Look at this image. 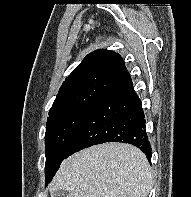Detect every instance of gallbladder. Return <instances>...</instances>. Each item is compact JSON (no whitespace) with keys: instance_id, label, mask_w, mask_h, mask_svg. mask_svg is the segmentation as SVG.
I'll return each mask as SVG.
<instances>
[{"instance_id":"obj_1","label":"gallbladder","mask_w":191,"mask_h":197,"mask_svg":"<svg viewBox=\"0 0 191 197\" xmlns=\"http://www.w3.org/2000/svg\"><path fill=\"white\" fill-rule=\"evenodd\" d=\"M53 197H68V192L65 189L58 190Z\"/></svg>"}]
</instances>
